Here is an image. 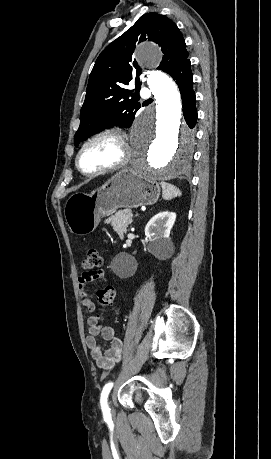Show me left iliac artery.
Listing matches in <instances>:
<instances>
[{"label": "left iliac artery", "mask_w": 271, "mask_h": 459, "mask_svg": "<svg viewBox=\"0 0 271 459\" xmlns=\"http://www.w3.org/2000/svg\"><path fill=\"white\" fill-rule=\"evenodd\" d=\"M112 386H113V383L111 382L106 384L102 390L101 398H100L101 409H102L103 415L104 417H108V418H111V414H110V408L107 404V397H108V394Z\"/></svg>", "instance_id": "44dca946"}]
</instances>
